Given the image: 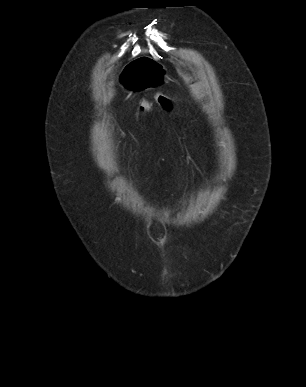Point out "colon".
<instances>
[{"instance_id": "colon-1", "label": "colon", "mask_w": 306, "mask_h": 387, "mask_svg": "<svg viewBox=\"0 0 306 387\" xmlns=\"http://www.w3.org/2000/svg\"><path fill=\"white\" fill-rule=\"evenodd\" d=\"M157 101L164 109H166V110L172 109L171 102L169 100H167L166 98L157 95ZM150 105H151V103L149 100H144L139 107V111L140 112L147 111L149 109Z\"/></svg>"}]
</instances>
